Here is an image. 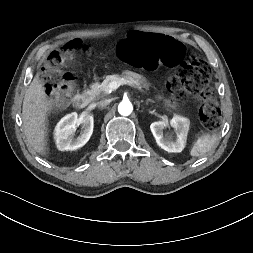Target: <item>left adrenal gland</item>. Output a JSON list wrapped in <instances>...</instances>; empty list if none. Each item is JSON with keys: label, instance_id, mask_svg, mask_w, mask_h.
Returning a JSON list of instances; mask_svg holds the SVG:
<instances>
[{"label": "left adrenal gland", "instance_id": "obj_1", "mask_svg": "<svg viewBox=\"0 0 253 253\" xmlns=\"http://www.w3.org/2000/svg\"><path fill=\"white\" fill-rule=\"evenodd\" d=\"M150 102H152V100L148 99L145 103V105H148Z\"/></svg>", "mask_w": 253, "mask_h": 253}]
</instances>
